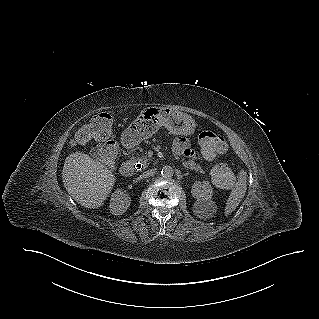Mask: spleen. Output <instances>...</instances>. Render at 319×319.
I'll return each mask as SVG.
<instances>
[{"mask_svg": "<svg viewBox=\"0 0 319 319\" xmlns=\"http://www.w3.org/2000/svg\"><path fill=\"white\" fill-rule=\"evenodd\" d=\"M247 173L244 170H241L239 173V179L235 184L232 192L227 199L226 207H225V215L231 214L242 201L245 196L247 190V182H246Z\"/></svg>", "mask_w": 319, "mask_h": 319, "instance_id": "1", "label": "spleen"}]
</instances>
